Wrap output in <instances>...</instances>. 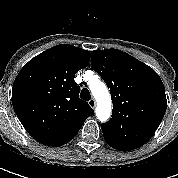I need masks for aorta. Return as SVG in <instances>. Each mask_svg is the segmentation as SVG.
Listing matches in <instances>:
<instances>
[{
	"label": "aorta",
	"instance_id": "762f6f07",
	"mask_svg": "<svg viewBox=\"0 0 178 178\" xmlns=\"http://www.w3.org/2000/svg\"><path fill=\"white\" fill-rule=\"evenodd\" d=\"M90 90L97 102L96 115L101 122H105L111 115V97L106 85L99 79L89 82Z\"/></svg>",
	"mask_w": 178,
	"mask_h": 178
}]
</instances>
